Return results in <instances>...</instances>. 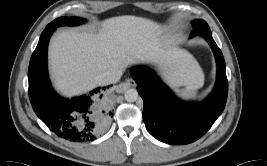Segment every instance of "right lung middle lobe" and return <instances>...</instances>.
Wrapping results in <instances>:
<instances>
[{
  "label": "right lung middle lobe",
  "instance_id": "right-lung-middle-lobe-1",
  "mask_svg": "<svg viewBox=\"0 0 267 166\" xmlns=\"http://www.w3.org/2000/svg\"><path fill=\"white\" fill-rule=\"evenodd\" d=\"M85 20L80 17H60L55 19L53 22L48 24L47 26H54V27H59V26H64V25H79L84 23Z\"/></svg>",
  "mask_w": 267,
  "mask_h": 166
}]
</instances>
